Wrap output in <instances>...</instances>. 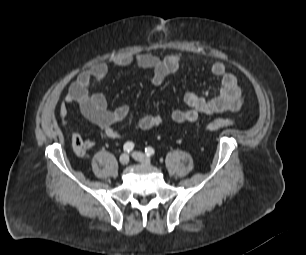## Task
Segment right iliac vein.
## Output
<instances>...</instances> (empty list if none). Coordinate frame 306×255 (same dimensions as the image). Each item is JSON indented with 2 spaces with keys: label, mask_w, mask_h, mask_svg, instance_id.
Returning a JSON list of instances; mask_svg holds the SVG:
<instances>
[{
  "label": "right iliac vein",
  "mask_w": 306,
  "mask_h": 255,
  "mask_svg": "<svg viewBox=\"0 0 306 255\" xmlns=\"http://www.w3.org/2000/svg\"><path fill=\"white\" fill-rule=\"evenodd\" d=\"M119 162H120L121 165H127L129 163L128 154H122L119 158Z\"/></svg>",
  "instance_id": "1"
}]
</instances>
